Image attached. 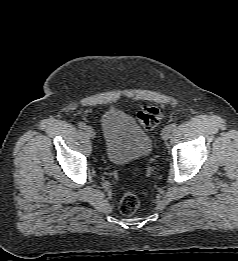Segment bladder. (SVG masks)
Returning a JSON list of instances; mask_svg holds the SVG:
<instances>
[{
  "instance_id": "1",
  "label": "bladder",
  "mask_w": 238,
  "mask_h": 261,
  "mask_svg": "<svg viewBox=\"0 0 238 261\" xmlns=\"http://www.w3.org/2000/svg\"><path fill=\"white\" fill-rule=\"evenodd\" d=\"M105 154L109 162L125 165L147 158L153 148L149 134L130 115L110 109L101 117Z\"/></svg>"
}]
</instances>
